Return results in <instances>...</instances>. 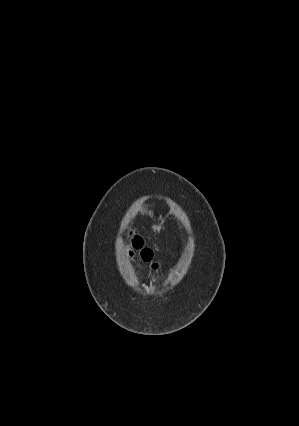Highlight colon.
I'll return each mask as SVG.
<instances>
[{
    "label": "colon",
    "mask_w": 299,
    "mask_h": 426,
    "mask_svg": "<svg viewBox=\"0 0 299 426\" xmlns=\"http://www.w3.org/2000/svg\"><path fill=\"white\" fill-rule=\"evenodd\" d=\"M129 253L131 256L138 258L142 263L147 264L150 269L155 270L157 268L152 249L144 245L140 236L130 235Z\"/></svg>",
    "instance_id": "colon-1"
}]
</instances>
